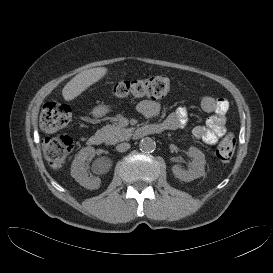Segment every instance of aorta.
<instances>
[{
    "label": "aorta",
    "mask_w": 273,
    "mask_h": 273,
    "mask_svg": "<svg viewBox=\"0 0 273 273\" xmlns=\"http://www.w3.org/2000/svg\"><path fill=\"white\" fill-rule=\"evenodd\" d=\"M139 148L142 152H153L156 148V143L152 138L144 137L139 143Z\"/></svg>",
    "instance_id": "1"
}]
</instances>
